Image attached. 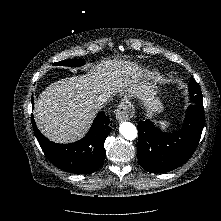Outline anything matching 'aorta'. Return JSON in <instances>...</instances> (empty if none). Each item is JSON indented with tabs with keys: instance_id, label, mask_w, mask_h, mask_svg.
Listing matches in <instances>:
<instances>
[{
	"instance_id": "aorta-1",
	"label": "aorta",
	"mask_w": 221,
	"mask_h": 221,
	"mask_svg": "<svg viewBox=\"0 0 221 221\" xmlns=\"http://www.w3.org/2000/svg\"><path fill=\"white\" fill-rule=\"evenodd\" d=\"M121 135L128 140H134L137 137V128L131 122H123L119 126Z\"/></svg>"
}]
</instances>
